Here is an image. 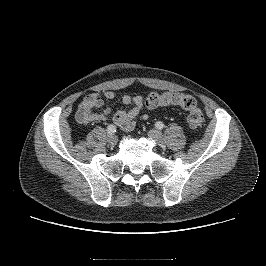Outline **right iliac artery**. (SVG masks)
<instances>
[{"label": "right iliac artery", "mask_w": 266, "mask_h": 266, "mask_svg": "<svg viewBox=\"0 0 266 266\" xmlns=\"http://www.w3.org/2000/svg\"><path fill=\"white\" fill-rule=\"evenodd\" d=\"M107 132H108L110 135L114 134V133L116 132V126L113 125V124L109 125V126L107 127Z\"/></svg>", "instance_id": "right-iliac-artery-1"}]
</instances>
